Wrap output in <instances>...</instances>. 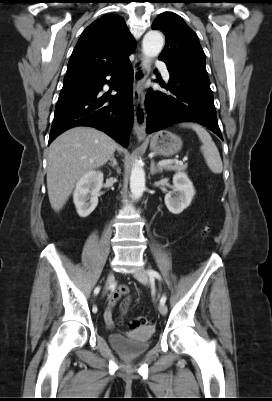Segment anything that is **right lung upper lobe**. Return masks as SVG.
<instances>
[{
	"mask_svg": "<svg viewBox=\"0 0 272 401\" xmlns=\"http://www.w3.org/2000/svg\"><path fill=\"white\" fill-rule=\"evenodd\" d=\"M135 49V41L124 19L104 15L80 36L68 62L62 90L101 77L124 62Z\"/></svg>",
	"mask_w": 272,
	"mask_h": 401,
	"instance_id": "cb5924a9",
	"label": "right lung upper lobe"
}]
</instances>
